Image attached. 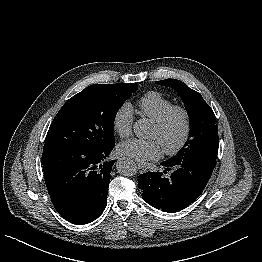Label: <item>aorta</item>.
I'll list each match as a JSON object with an SVG mask.
<instances>
[{
    "label": "aorta",
    "instance_id": "obj_1",
    "mask_svg": "<svg viewBox=\"0 0 262 262\" xmlns=\"http://www.w3.org/2000/svg\"><path fill=\"white\" fill-rule=\"evenodd\" d=\"M150 129L151 125L147 119H139L133 125V131L138 138L148 137ZM116 168L124 176H133L137 173L136 163L130 158H120Z\"/></svg>",
    "mask_w": 262,
    "mask_h": 262
}]
</instances>
